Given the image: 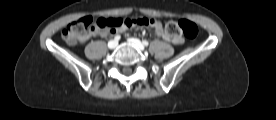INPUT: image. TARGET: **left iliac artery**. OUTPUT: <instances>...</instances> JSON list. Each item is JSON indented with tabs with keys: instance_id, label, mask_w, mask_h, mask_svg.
I'll use <instances>...</instances> for the list:
<instances>
[{
	"instance_id": "left-iliac-artery-1",
	"label": "left iliac artery",
	"mask_w": 276,
	"mask_h": 120,
	"mask_svg": "<svg viewBox=\"0 0 276 120\" xmlns=\"http://www.w3.org/2000/svg\"><path fill=\"white\" fill-rule=\"evenodd\" d=\"M142 42H143V44H144L145 46H148V45H149V42H148L147 40H143Z\"/></svg>"
}]
</instances>
